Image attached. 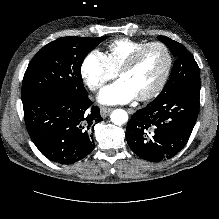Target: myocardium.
<instances>
[{"label": "myocardium", "instance_id": "obj_1", "mask_svg": "<svg viewBox=\"0 0 219 219\" xmlns=\"http://www.w3.org/2000/svg\"><path fill=\"white\" fill-rule=\"evenodd\" d=\"M153 46L161 47L164 50V52L167 56V65H166V68H165V71H164L162 77L157 82V84L150 91H148L144 94L136 96V98L140 101H147V100H150V99L154 98L155 96H157L162 91V89L166 85V83L169 79V76L171 74L172 67H173V56H172V53H171V50L169 49V47L165 43L160 42V41L148 42L145 45H143L141 48H139L137 51H135L124 62V64L118 70V76L120 77V75L123 72L129 71L130 69H132L136 65V63L138 62V60L140 59L142 54L147 49H149L150 47H153Z\"/></svg>", "mask_w": 219, "mask_h": 219}]
</instances>
